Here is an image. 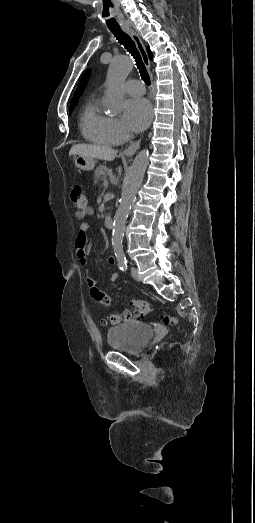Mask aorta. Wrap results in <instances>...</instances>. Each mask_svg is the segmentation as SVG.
<instances>
[{
	"mask_svg": "<svg viewBox=\"0 0 255 523\" xmlns=\"http://www.w3.org/2000/svg\"><path fill=\"white\" fill-rule=\"evenodd\" d=\"M133 68V62L128 56L114 59L107 72L106 108L111 114L120 113L124 95L121 86ZM149 151L143 149L135 157L124 183L119 207L114 216L112 246L117 260H124L123 237L126 220L136 193L142 184L147 166Z\"/></svg>",
	"mask_w": 255,
	"mask_h": 523,
	"instance_id": "1",
	"label": "aorta"
}]
</instances>
